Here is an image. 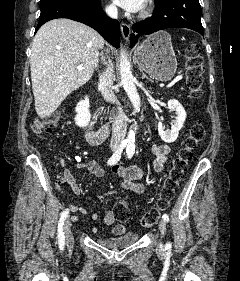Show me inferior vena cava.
I'll return each mask as SVG.
<instances>
[{
	"mask_svg": "<svg viewBox=\"0 0 240 281\" xmlns=\"http://www.w3.org/2000/svg\"><path fill=\"white\" fill-rule=\"evenodd\" d=\"M106 13L116 19L118 17L117 8L109 6L106 8ZM95 67H98V59L96 60ZM113 64L109 61L106 63V69L103 73H99V88L101 89L102 96L107 102L115 103L116 97L113 91L114 81ZM110 119L112 120V137L111 144H119L122 142L126 135V115L120 107L113 108L110 111Z\"/></svg>",
	"mask_w": 240,
	"mask_h": 281,
	"instance_id": "inferior-vena-cava-1",
	"label": "inferior vena cava"
}]
</instances>
